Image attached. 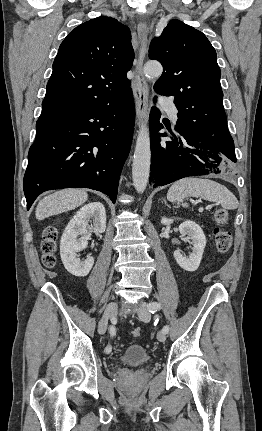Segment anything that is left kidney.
I'll return each mask as SVG.
<instances>
[{"label":"left kidney","instance_id":"1","mask_svg":"<svg viewBox=\"0 0 262 431\" xmlns=\"http://www.w3.org/2000/svg\"><path fill=\"white\" fill-rule=\"evenodd\" d=\"M173 219L162 218L164 225L172 223ZM179 231L183 236H187L193 243L192 253L189 257L181 254L180 250L174 251V258L178 265L186 271H195L200 265L202 255L206 246V237L201 227L190 220L184 221L179 226Z\"/></svg>","mask_w":262,"mask_h":431}]
</instances>
